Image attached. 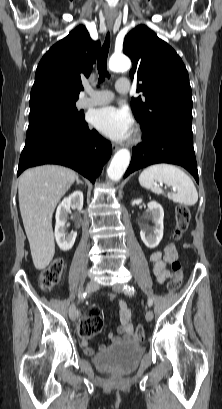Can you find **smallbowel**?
<instances>
[{
    "label": "small bowel",
    "mask_w": 222,
    "mask_h": 409,
    "mask_svg": "<svg viewBox=\"0 0 222 409\" xmlns=\"http://www.w3.org/2000/svg\"><path fill=\"white\" fill-rule=\"evenodd\" d=\"M184 248H188V244H184ZM178 254L174 244L167 243L163 250L155 251L150 255V262L153 265V273L160 284L165 283L167 280L174 279V275L167 269V265L173 260H177ZM179 266V263H176ZM111 302H117L119 309L120 325L117 327L116 333H109L108 338L114 344L123 342H134V325L132 322V310L124 300L118 299L115 294L109 295ZM101 319V317L99 316ZM81 345L84 352L87 355H93L95 350L89 346L88 340L81 339ZM108 348L103 344L100 346V351H104Z\"/></svg>",
    "instance_id": "obj_1"
}]
</instances>
